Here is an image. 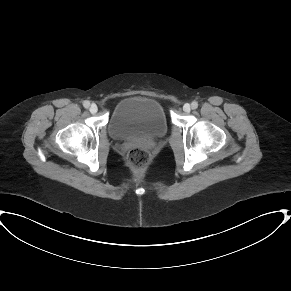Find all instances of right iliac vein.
Masks as SVG:
<instances>
[{"instance_id":"obj_1","label":"right iliac vein","mask_w":291,"mask_h":291,"mask_svg":"<svg viewBox=\"0 0 291 291\" xmlns=\"http://www.w3.org/2000/svg\"><path fill=\"white\" fill-rule=\"evenodd\" d=\"M89 111L92 113V114H95L97 111H98V107L96 104H92L89 108Z\"/></svg>"}]
</instances>
